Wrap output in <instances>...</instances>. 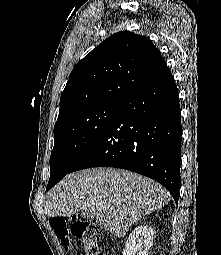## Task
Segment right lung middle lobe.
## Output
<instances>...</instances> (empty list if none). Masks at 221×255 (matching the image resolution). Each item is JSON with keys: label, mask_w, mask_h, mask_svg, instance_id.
I'll list each match as a JSON object with an SVG mask.
<instances>
[{"label": "right lung middle lobe", "mask_w": 221, "mask_h": 255, "mask_svg": "<svg viewBox=\"0 0 221 255\" xmlns=\"http://www.w3.org/2000/svg\"><path fill=\"white\" fill-rule=\"evenodd\" d=\"M120 103H104L76 111L55 124L47 190L58 183L92 146Z\"/></svg>", "instance_id": "1"}]
</instances>
